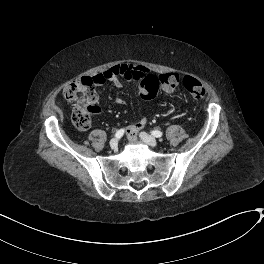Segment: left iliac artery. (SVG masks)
<instances>
[{
	"label": "left iliac artery",
	"mask_w": 264,
	"mask_h": 264,
	"mask_svg": "<svg viewBox=\"0 0 264 264\" xmlns=\"http://www.w3.org/2000/svg\"><path fill=\"white\" fill-rule=\"evenodd\" d=\"M151 134L155 137H161L163 135V133L159 130H153Z\"/></svg>",
	"instance_id": "1"
}]
</instances>
